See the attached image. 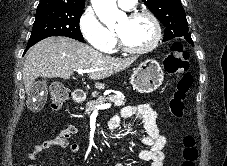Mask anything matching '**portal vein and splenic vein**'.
<instances>
[{
  "mask_svg": "<svg viewBox=\"0 0 227 166\" xmlns=\"http://www.w3.org/2000/svg\"><path fill=\"white\" fill-rule=\"evenodd\" d=\"M78 74L83 75L84 73H88V70L77 69ZM111 107V104H102L96 106V110L108 109Z\"/></svg>",
  "mask_w": 227,
  "mask_h": 166,
  "instance_id": "18ae733b",
  "label": "portal vein and splenic vein"
}]
</instances>
